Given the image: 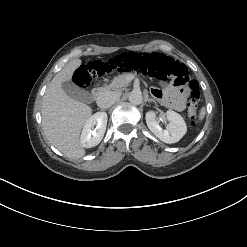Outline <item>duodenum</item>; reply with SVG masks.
<instances>
[{
	"label": "duodenum",
	"mask_w": 247,
	"mask_h": 247,
	"mask_svg": "<svg viewBox=\"0 0 247 247\" xmlns=\"http://www.w3.org/2000/svg\"><path fill=\"white\" fill-rule=\"evenodd\" d=\"M103 92H104V88L102 86L94 87L92 91L93 99L97 100L98 98H100Z\"/></svg>",
	"instance_id": "duodenum-1"
}]
</instances>
